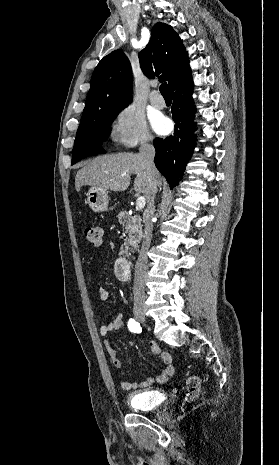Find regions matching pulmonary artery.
Returning a JSON list of instances; mask_svg holds the SVG:
<instances>
[{
    "mask_svg": "<svg viewBox=\"0 0 279 465\" xmlns=\"http://www.w3.org/2000/svg\"><path fill=\"white\" fill-rule=\"evenodd\" d=\"M150 102L153 107L157 109H162L165 107V100L164 98L157 92V91H152L150 94Z\"/></svg>",
    "mask_w": 279,
    "mask_h": 465,
    "instance_id": "e3ab8cb5",
    "label": "pulmonary artery"
}]
</instances>
